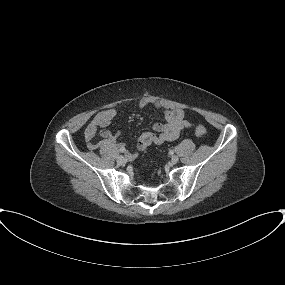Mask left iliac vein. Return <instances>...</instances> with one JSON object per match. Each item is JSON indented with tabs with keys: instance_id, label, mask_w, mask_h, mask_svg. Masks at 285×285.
Returning a JSON list of instances; mask_svg holds the SVG:
<instances>
[{
	"instance_id": "obj_1",
	"label": "left iliac vein",
	"mask_w": 285,
	"mask_h": 285,
	"mask_svg": "<svg viewBox=\"0 0 285 285\" xmlns=\"http://www.w3.org/2000/svg\"><path fill=\"white\" fill-rule=\"evenodd\" d=\"M178 161H179L178 156L173 155V156L171 157V162H172L173 164L177 163Z\"/></svg>"
}]
</instances>
